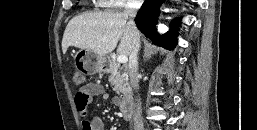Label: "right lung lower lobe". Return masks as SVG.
<instances>
[{
  "label": "right lung lower lobe",
  "mask_w": 257,
  "mask_h": 130,
  "mask_svg": "<svg viewBox=\"0 0 257 130\" xmlns=\"http://www.w3.org/2000/svg\"><path fill=\"white\" fill-rule=\"evenodd\" d=\"M164 0H145L140 11L137 13L135 22L141 32L150 38L154 44L173 49L177 43V27L179 19H175L170 25L171 29L163 35L156 33L155 24L159 15V7Z\"/></svg>",
  "instance_id": "98d812e1"
}]
</instances>
